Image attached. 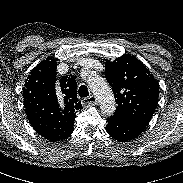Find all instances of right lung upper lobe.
I'll list each match as a JSON object with an SVG mask.
<instances>
[{
	"label": "right lung upper lobe",
	"mask_w": 183,
	"mask_h": 183,
	"mask_svg": "<svg viewBox=\"0 0 183 183\" xmlns=\"http://www.w3.org/2000/svg\"><path fill=\"white\" fill-rule=\"evenodd\" d=\"M56 68L53 57L41 61L30 72L23 88L30 124L50 141L64 140L72 134L76 112L82 108L75 79L70 75L56 77Z\"/></svg>",
	"instance_id": "right-lung-upper-lobe-1"
}]
</instances>
